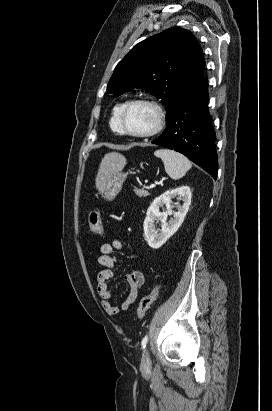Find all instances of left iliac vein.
<instances>
[{
	"label": "left iliac vein",
	"instance_id": "4c4485c4",
	"mask_svg": "<svg viewBox=\"0 0 272 411\" xmlns=\"http://www.w3.org/2000/svg\"><path fill=\"white\" fill-rule=\"evenodd\" d=\"M142 366L145 367L149 364V352L147 348L143 352V358H142Z\"/></svg>",
	"mask_w": 272,
	"mask_h": 411
}]
</instances>
